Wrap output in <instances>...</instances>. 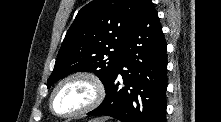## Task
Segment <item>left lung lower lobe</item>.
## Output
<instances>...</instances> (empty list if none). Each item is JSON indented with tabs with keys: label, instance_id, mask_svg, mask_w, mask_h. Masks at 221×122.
<instances>
[{
	"label": "left lung lower lobe",
	"instance_id": "0a47b994",
	"mask_svg": "<svg viewBox=\"0 0 221 122\" xmlns=\"http://www.w3.org/2000/svg\"><path fill=\"white\" fill-rule=\"evenodd\" d=\"M166 50L153 3L140 0L105 100L88 114L111 116L122 122H166ZM119 74L123 88H119Z\"/></svg>",
	"mask_w": 221,
	"mask_h": 122
}]
</instances>
